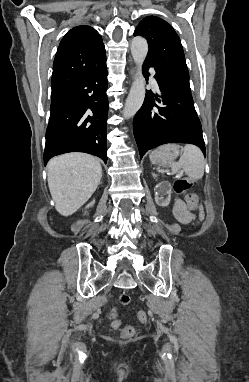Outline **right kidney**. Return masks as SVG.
Instances as JSON below:
<instances>
[{
    "label": "right kidney",
    "instance_id": "ca27d5eb",
    "mask_svg": "<svg viewBox=\"0 0 249 382\" xmlns=\"http://www.w3.org/2000/svg\"><path fill=\"white\" fill-rule=\"evenodd\" d=\"M94 203H95V201H92L91 203H89V204L87 205L86 208L92 207V206L94 205ZM85 214H86V212H85Z\"/></svg>",
    "mask_w": 249,
    "mask_h": 382
}]
</instances>
